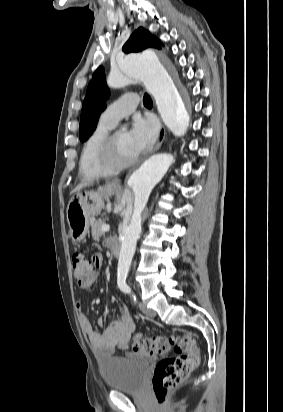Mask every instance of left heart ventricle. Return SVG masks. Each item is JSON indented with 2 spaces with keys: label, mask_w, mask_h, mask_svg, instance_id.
<instances>
[{
  "label": "left heart ventricle",
  "mask_w": 283,
  "mask_h": 412,
  "mask_svg": "<svg viewBox=\"0 0 283 412\" xmlns=\"http://www.w3.org/2000/svg\"><path fill=\"white\" fill-rule=\"evenodd\" d=\"M117 143V155L119 160L128 161L135 157L137 153L133 149L128 132L125 130H120L116 138Z\"/></svg>",
  "instance_id": "left-heart-ventricle-1"
}]
</instances>
